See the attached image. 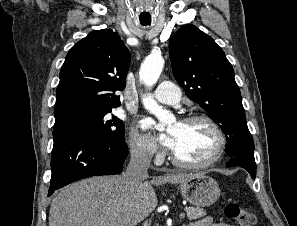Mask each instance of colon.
Listing matches in <instances>:
<instances>
[{
    "mask_svg": "<svg viewBox=\"0 0 297 226\" xmlns=\"http://www.w3.org/2000/svg\"><path fill=\"white\" fill-rule=\"evenodd\" d=\"M225 215L229 219L236 220L241 226H255L257 223L256 215L241 208L237 203H228Z\"/></svg>",
    "mask_w": 297,
    "mask_h": 226,
    "instance_id": "1",
    "label": "colon"
}]
</instances>
